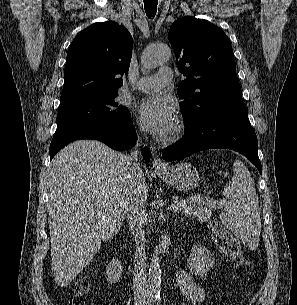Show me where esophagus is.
Masks as SVG:
<instances>
[{"mask_svg":"<svg viewBox=\"0 0 297 305\" xmlns=\"http://www.w3.org/2000/svg\"><path fill=\"white\" fill-rule=\"evenodd\" d=\"M164 163L160 157H156L153 160V168L154 170H162L164 168Z\"/></svg>","mask_w":297,"mask_h":305,"instance_id":"1","label":"esophagus"}]
</instances>
